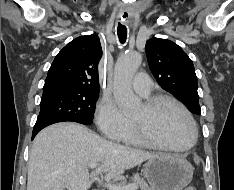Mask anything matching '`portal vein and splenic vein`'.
Segmentation results:
<instances>
[{
    "label": "portal vein and splenic vein",
    "mask_w": 234,
    "mask_h": 190,
    "mask_svg": "<svg viewBox=\"0 0 234 190\" xmlns=\"http://www.w3.org/2000/svg\"><path fill=\"white\" fill-rule=\"evenodd\" d=\"M97 163H90L89 164V168L90 169H94L97 167ZM104 186L108 189V190H137L138 187L135 184H130V185H126V186H118L115 184H111V183H105Z\"/></svg>",
    "instance_id": "1"
}]
</instances>
